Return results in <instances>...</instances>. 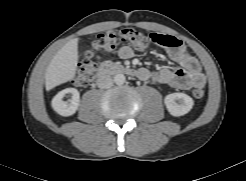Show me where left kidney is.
<instances>
[{
    "label": "left kidney",
    "instance_id": "5707ae66",
    "mask_svg": "<svg viewBox=\"0 0 246 181\" xmlns=\"http://www.w3.org/2000/svg\"><path fill=\"white\" fill-rule=\"evenodd\" d=\"M164 103L168 112L175 117L187 114L193 107V99L184 93H171L168 94Z\"/></svg>",
    "mask_w": 246,
    "mask_h": 181
}]
</instances>
